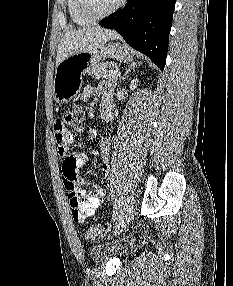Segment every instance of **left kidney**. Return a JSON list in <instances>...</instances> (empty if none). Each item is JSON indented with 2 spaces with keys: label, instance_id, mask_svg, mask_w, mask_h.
Returning <instances> with one entry per match:
<instances>
[{
  "label": "left kidney",
  "instance_id": "left-kidney-1",
  "mask_svg": "<svg viewBox=\"0 0 233 286\" xmlns=\"http://www.w3.org/2000/svg\"><path fill=\"white\" fill-rule=\"evenodd\" d=\"M138 82H139L138 79H134V80L131 81V84H130L131 90H134V89L137 88V83Z\"/></svg>",
  "mask_w": 233,
  "mask_h": 286
}]
</instances>
